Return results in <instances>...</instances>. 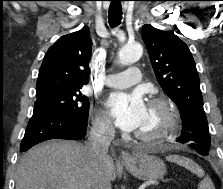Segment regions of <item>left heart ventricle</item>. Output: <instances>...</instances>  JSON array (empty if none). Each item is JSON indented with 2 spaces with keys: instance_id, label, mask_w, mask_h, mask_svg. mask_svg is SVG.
I'll use <instances>...</instances> for the list:
<instances>
[{
  "instance_id": "obj_1",
  "label": "left heart ventricle",
  "mask_w": 223,
  "mask_h": 189,
  "mask_svg": "<svg viewBox=\"0 0 223 189\" xmlns=\"http://www.w3.org/2000/svg\"><path fill=\"white\" fill-rule=\"evenodd\" d=\"M163 114L161 111L147 106V114L139 131H153L161 125Z\"/></svg>"
}]
</instances>
